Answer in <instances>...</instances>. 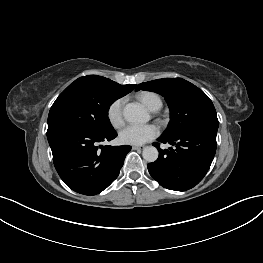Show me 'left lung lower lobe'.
Listing matches in <instances>:
<instances>
[{
  "mask_svg": "<svg viewBox=\"0 0 263 263\" xmlns=\"http://www.w3.org/2000/svg\"><path fill=\"white\" fill-rule=\"evenodd\" d=\"M214 130H192L175 137H161L158 141L175 148L159 151V158L147 165L150 175L163 187L185 191L197 185L206 175L216 152Z\"/></svg>",
  "mask_w": 263,
  "mask_h": 263,
  "instance_id": "left-lung-lower-lobe-1",
  "label": "left lung lower lobe"
}]
</instances>
